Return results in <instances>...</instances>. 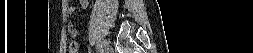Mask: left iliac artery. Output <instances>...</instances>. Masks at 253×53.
<instances>
[{
	"label": "left iliac artery",
	"instance_id": "44dca946",
	"mask_svg": "<svg viewBox=\"0 0 253 53\" xmlns=\"http://www.w3.org/2000/svg\"><path fill=\"white\" fill-rule=\"evenodd\" d=\"M96 48L98 53H103L104 48H103V42L102 41H97L96 42Z\"/></svg>",
	"mask_w": 253,
	"mask_h": 53
}]
</instances>
